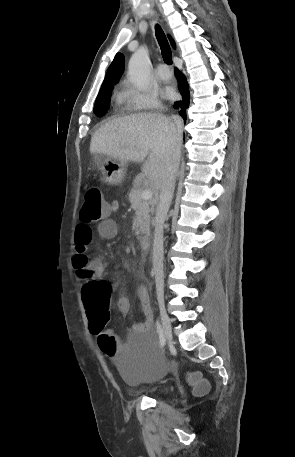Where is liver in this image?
Instances as JSON below:
<instances>
[{
  "label": "liver",
  "mask_w": 295,
  "mask_h": 457,
  "mask_svg": "<svg viewBox=\"0 0 295 457\" xmlns=\"http://www.w3.org/2000/svg\"><path fill=\"white\" fill-rule=\"evenodd\" d=\"M182 132V128H181ZM177 127L162 114L139 113L109 121L92 136L90 152L125 162H143V176L160 189L167 163L181 147Z\"/></svg>",
  "instance_id": "liver-1"
}]
</instances>
